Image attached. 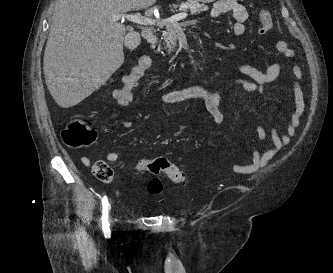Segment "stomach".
<instances>
[{
	"label": "stomach",
	"mask_w": 333,
	"mask_h": 273,
	"mask_svg": "<svg viewBox=\"0 0 333 273\" xmlns=\"http://www.w3.org/2000/svg\"><path fill=\"white\" fill-rule=\"evenodd\" d=\"M198 2L201 3H209V2H213L214 0H197Z\"/></svg>",
	"instance_id": "0dacf381"
}]
</instances>
